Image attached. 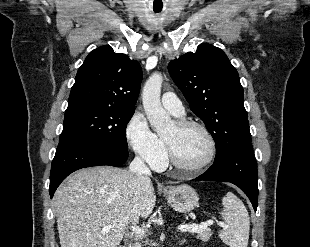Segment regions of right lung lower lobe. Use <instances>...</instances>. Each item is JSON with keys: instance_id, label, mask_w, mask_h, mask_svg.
<instances>
[{"instance_id": "right-lung-lower-lobe-1", "label": "right lung lower lobe", "mask_w": 310, "mask_h": 247, "mask_svg": "<svg viewBox=\"0 0 310 247\" xmlns=\"http://www.w3.org/2000/svg\"><path fill=\"white\" fill-rule=\"evenodd\" d=\"M128 158L127 150L73 140L59 143L51 166L49 193L52 198L59 184L72 172L98 165L121 166Z\"/></svg>"}]
</instances>
